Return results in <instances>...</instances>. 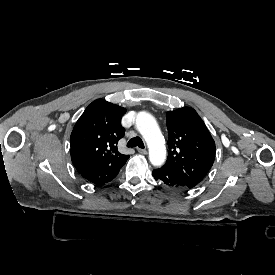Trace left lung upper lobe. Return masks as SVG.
<instances>
[{
  "label": "left lung upper lobe",
  "instance_id": "5c2ea615",
  "mask_svg": "<svg viewBox=\"0 0 275 275\" xmlns=\"http://www.w3.org/2000/svg\"><path fill=\"white\" fill-rule=\"evenodd\" d=\"M169 154L163 167L195 187L213 165L215 142L197 112L183 107L166 113Z\"/></svg>",
  "mask_w": 275,
  "mask_h": 275
}]
</instances>
